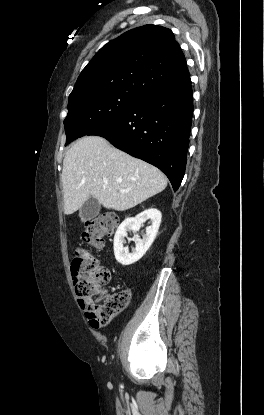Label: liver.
I'll use <instances>...</instances> for the list:
<instances>
[{"label": "liver", "instance_id": "1", "mask_svg": "<svg viewBox=\"0 0 264 415\" xmlns=\"http://www.w3.org/2000/svg\"><path fill=\"white\" fill-rule=\"evenodd\" d=\"M61 181L66 215L76 212L90 197L107 209L125 211L167 186V178L158 168L99 136H85L66 151Z\"/></svg>", "mask_w": 264, "mask_h": 415}]
</instances>
